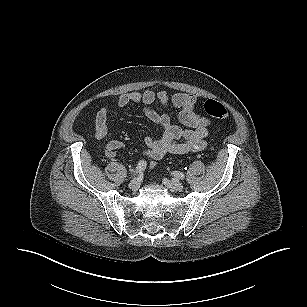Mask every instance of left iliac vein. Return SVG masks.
Masks as SVG:
<instances>
[{
	"mask_svg": "<svg viewBox=\"0 0 307 307\" xmlns=\"http://www.w3.org/2000/svg\"><path fill=\"white\" fill-rule=\"evenodd\" d=\"M163 183L170 191H182L184 189L183 184L176 179H164Z\"/></svg>",
	"mask_w": 307,
	"mask_h": 307,
	"instance_id": "obj_1",
	"label": "left iliac vein"
}]
</instances>
